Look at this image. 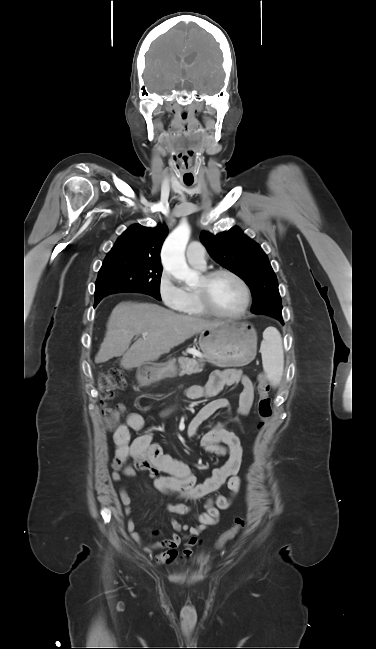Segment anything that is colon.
<instances>
[{"label": "colon", "mask_w": 376, "mask_h": 649, "mask_svg": "<svg viewBox=\"0 0 376 649\" xmlns=\"http://www.w3.org/2000/svg\"><path fill=\"white\" fill-rule=\"evenodd\" d=\"M126 381L118 370H107L100 374L98 380L99 397L102 407V415L106 426L109 429H114L118 424L120 417L124 411V406L119 404L110 406L108 401L113 398L114 392L119 389H124ZM258 401H257V414L260 418L259 429H264L268 420L272 415L271 399L269 396L270 386L267 376L264 373L258 375ZM244 521L242 518H236L234 525L227 530L219 539V546H223L228 541L232 540L242 529Z\"/></svg>", "instance_id": "5ec220e1"}]
</instances>
